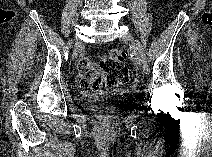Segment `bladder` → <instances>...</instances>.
<instances>
[{"label": "bladder", "mask_w": 212, "mask_h": 157, "mask_svg": "<svg viewBox=\"0 0 212 157\" xmlns=\"http://www.w3.org/2000/svg\"><path fill=\"white\" fill-rule=\"evenodd\" d=\"M135 95V91L130 88L81 92L76 96V102L88 111L98 112L100 105L103 103H125Z\"/></svg>", "instance_id": "1"}]
</instances>
